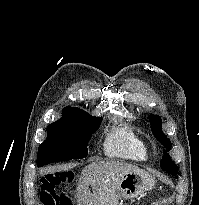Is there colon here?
<instances>
[{
    "mask_svg": "<svg viewBox=\"0 0 199 205\" xmlns=\"http://www.w3.org/2000/svg\"><path fill=\"white\" fill-rule=\"evenodd\" d=\"M73 179L72 172L50 173L42 178L40 197L44 205L62 204L58 187L67 185Z\"/></svg>",
    "mask_w": 199,
    "mask_h": 205,
    "instance_id": "obj_1",
    "label": "colon"
}]
</instances>
